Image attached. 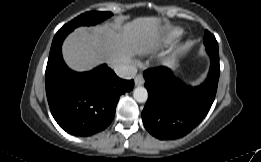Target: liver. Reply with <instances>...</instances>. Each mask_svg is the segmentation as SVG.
I'll return each mask as SVG.
<instances>
[{"label":"liver","mask_w":261,"mask_h":162,"mask_svg":"<svg viewBox=\"0 0 261 162\" xmlns=\"http://www.w3.org/2000/svg\"><path fill=\"white\" fill-rule=\"evenodd\" d=\"M162 32L157 17H139L130 22L79 27L64 41L66 64L74 71L91 70L102 62L110 67L129 63L136 54H148L158 46Z\"/></svg>","instance_id":"obj_1"}]
</instances>
